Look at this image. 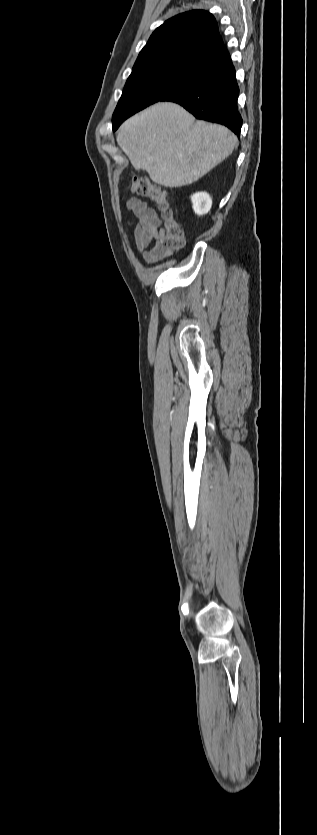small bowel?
Returning <instances> with one entry per match:
<instances>
[{
    "instance_id": "c3829d8e",
    "label": "small bowel",
    "mask_w": 317,
    "mask_h": 835,
    "mask_svg": "<svg viewBox=\"0 0 317 835\" xmlns=\"http://www.w3.org/2000/svg\"><path fill=\"white\" fill-rule=\"evenodd\" d=\"M127 208L138 219V223L134 227V239L145 260L151 263L161 260L164 256L158 253L157 246L164 230L161 228L162 221L157 212L147 202L135 197L128 199ZM153 241H157V243L149 249Z\"/></svg>"
}]
</instances>
